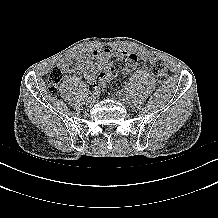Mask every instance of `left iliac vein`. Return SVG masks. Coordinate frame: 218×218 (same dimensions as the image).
I'll list each match as a JSON object with an SVG mask.
<instances>
[{
	"mask_svg": "<svg viewBox=\"0 0 218 218\" xmlns=\"http://www.w3.org/2000/svg\"><path fill=\"white\" fill-rule=\"evenodd\" d=\"M116 96H117L118 101L121 102L125 106H128L131 103L130 99L127 96L123 95L122 93L118 92Z\"/></svg>",
	"mask_w": 218,
	"mask_h": 218,
	"instance_id": "obj_1",
	"label": "left iliac vein"
}]
</instances>
